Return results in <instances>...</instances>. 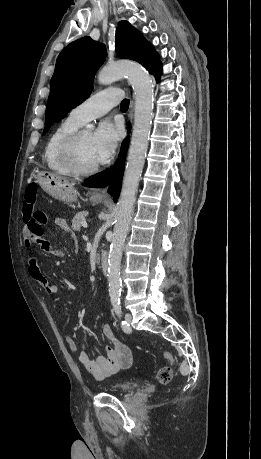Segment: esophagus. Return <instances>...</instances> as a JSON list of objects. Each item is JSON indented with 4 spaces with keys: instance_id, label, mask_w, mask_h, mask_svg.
<instances>
[{
    "instance_id": "esophagus-1",
    "label": "esophagus",
    "mask_w": 261,
    "mask_h": 459,
    "mask_svg": "<svg viewBox=\"0 0 261 459\" xmlns=\"http://www.w3.org/2000/svg\"><path fill=\"white\" fill-rule=\"evenodd\" d=\"M133 112H134V101L131 100L129 110H128V119L130 123L133 121ZM93 195L98 197H107V187L96 188L93 190Z\"/></svg>"
}]
</instances>
